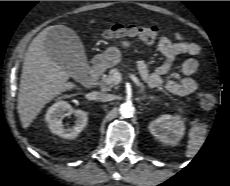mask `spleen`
Segmentation results:
<instances>
[{
	"instance_id": "3e777b00",
	"label": "spleen",
	"mask_w": 230,
	"mask_h": 186,
	"mask_svg": "<svg viewBox=\"0 0 230 186\" xmlns=\"http://www.w3.org/2000/svg\"><path fill=\"white\" fill-rule=\"evenodd\" d=\"M206 125L193 124L189 130V141L186 150V156L191 157L197 153L205 141Z\"/></svg>"
}]
</instances>
